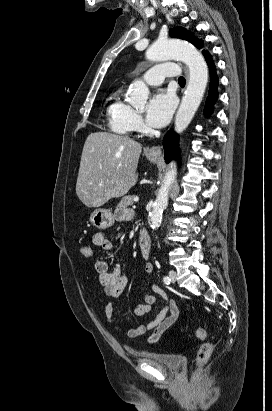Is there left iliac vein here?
Here are the masks:
<instances>
[{
	"label": "left iliac vein",
	"mask_w": 272,
	"mask_h": 411,
	"mask_svg": "<svg viewBox=\"0 0 272 411\" xmlns=\"http://www.w3.org/2000/svg\"><path fill=\"white\" fill-rule=\"evenodd\" d=\"M176 272L174 270H171L169 272V278L171 279V282L174 283L176 281Z\"/></svg>",
	"instance_id": "left-iliac-vein-1"
}]
</instances>
